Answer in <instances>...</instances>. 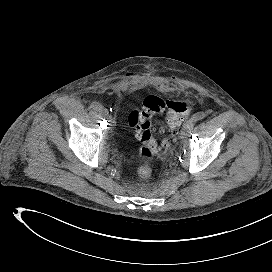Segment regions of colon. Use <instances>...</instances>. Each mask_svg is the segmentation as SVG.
I'll list each match as a JSON object with an SVG mask.
<instances>
[{"mask_svg": "<svg viewBox=\"0 0 272 272\" xmlns=\"http://www.w3.org/2000/svg\"><path fill=\"white\" fill-rule=\"evenodd\" d=\"M189 106L190 101L188 99L165 100L151 95L144 99L139 108L130 113L128 118L129 125L142 143L134 157L141 177L146 178L150 176L151 161L160 149L151 133L153 117L158 113L164 112L171 136H173L177 133L182 118L188 113ZM171 136L163 139L161 143L162 148L170 146Z\"/></svg>", "mask_w": 272, "mask_h": 272, "instance_id": "colon-1", "label": "colon"}]
</instances>
